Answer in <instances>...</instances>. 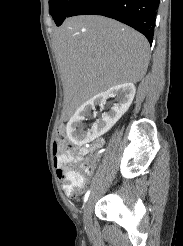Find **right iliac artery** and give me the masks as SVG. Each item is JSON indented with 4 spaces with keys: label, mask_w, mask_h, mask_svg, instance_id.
Listing matches in <instances>:
<instances>
[{
    "label": "right iliac artery",
    "mask_w": 183,
    "mask_h": 246,
    "mask_svg": "<svg viewBox=\"0 0 183 246\" xmlns=\"http://www.w3.org/2000/svg\"><path fill=\"white\" fill-rule=\"evenodd\" d=\"M89 195H90V190H88L84 196V203L88 200Z\"/></svg>",
    "instance_id": "obj_1"
}]
</instances>
